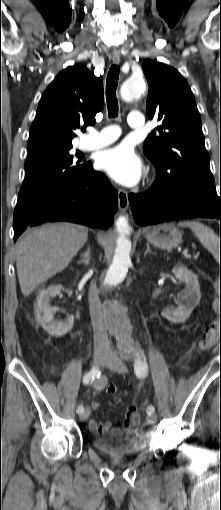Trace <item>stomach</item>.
<instances>
[{
    "instance_id": "stomach-1",
    "label": "stomach",
    "mask_w": 221,
    "mask_h": 510,
    "mask_svg": "<svg viewBox=\"0 0 221 510\" xmlns=\"http://www.w3.org/2000/svg\"><path fill=\"white\" fill-rule=\"evenodd\" d=\"M148 242L161 249L171 250L182 242V233L171 224H161L146 234Z\"/></svg>"
}]
</instances>
